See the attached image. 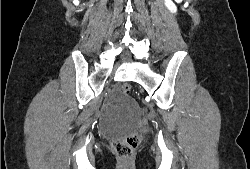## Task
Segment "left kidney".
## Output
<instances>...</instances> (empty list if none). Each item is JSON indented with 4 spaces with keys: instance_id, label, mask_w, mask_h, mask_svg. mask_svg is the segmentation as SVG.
<instances>
[{
    "instance_id": "1",
    "label": "left kidney",
    "mask_w": 250,
    "mask_h": 169,
    "mask_svg": "<svg viewBox=\"0 0 250 169\" xmlns=\"http://www.w3.org/2000/svg\"><path fill=\"white\" fill-rule=\"evenodd\" d=\"M164 4L167 6L170 12H177V6L174 4V2H172V0H165Z\"/></svg>"
}]
</instances>
